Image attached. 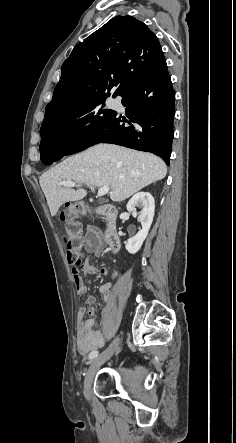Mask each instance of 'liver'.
<instances>
[{"label": "liver", "mask_w": 236, "mask_h": 443, "mask_svg": "<svg viewBox=\"0 0 236 443\" xmlns=\"http://www.w3.org/2000/svg\"><path fill=\"white\" fill-rule=\"evenodd\" d=\"M164 161L150 153L113 144H98L68 157L41 175L39 182L51 216L66 202L82 200L87 191L61 187V181H74L95 187L109 186L110 198L123 201L142 188L166 176Z\"/></svg>", "instance_id": "6515ba94"}]
</instances>
